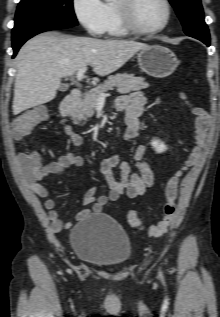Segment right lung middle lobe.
I'll return each mask as SVG.
<instances>
[{
    "label": "right lung middle lobe",
    "mask_w": 220,
    "mask_h": 317,
    "mask_svg": "<svg viewBox=\"0 0 220 317\" xmlns=\"http://www.w3.org/2000/svg\"><path fill=\"white\" fill-rule=\"evenodd\" d=\"M52 21L78 25L72 0H21L12 35L31 25Z\"/></svg>",
    "instance_id": "1"
}]
</instances>
